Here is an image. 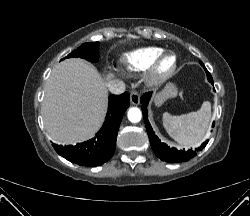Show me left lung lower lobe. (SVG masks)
<instances>
[{"mask_svg":"<svg viewBox=\"0 0 250 216\" xmlns=\"http://www.w3.org/2000/svg\"><path fill=\"white\" fill-rule=\"evenodd\" d=\"M205 71H206V74H207L208 81L213 84V79L211 77V74L207 71L206 68H205ZM151 96H152L151 92L145 93L141 97L140 102L142 104L141 108H142V112H143V117H144V121H145L146 130H147V133H148V136H149V139H150V144H151L152 150L154 151L156 156L159 157L161 160L167 161L169 163H174V162L179 163V162H182V161H188L191 158H193L194 156H196V151L203 149L207 145L208 140H206L201 145V147L196 149V151H193V150H188V151L177 150L174 147L170 148L165 143H161L159 138L153 132V129H152V127H151V125H150V123L148 121L147 106H148V103H149V100H150ZM214 124L215 123L213 122L212 127L214 126Z\"/></svg>","mask_w":250,"mask_h":216,"instance_id":"obj_1","label":"left lung lower lobe"}]
</instances>
